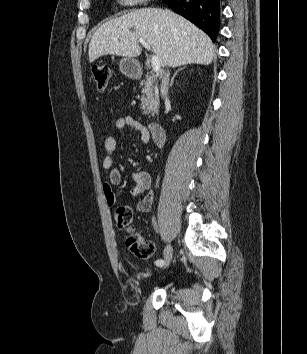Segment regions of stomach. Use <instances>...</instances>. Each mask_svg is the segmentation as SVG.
<instances>
[{
	"label": "stomach",
	"instance_id": "stomach-1",
	"mask_svg": "<svg viewBox=\"0 0 307 354\" xmlns=\"http://www.w3.org/2000/svg\"><path fill=\"white\" fill-rule=\"evenodd\" d=\"M119 67L121 72L129 78H138L141 74V68L139 62L134 58H123Z\"/></svg>",
	"mask_w": 307,
	"mask_h": 354
}]
</instances>
